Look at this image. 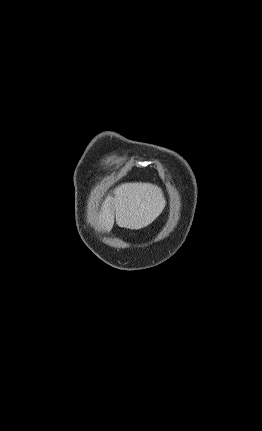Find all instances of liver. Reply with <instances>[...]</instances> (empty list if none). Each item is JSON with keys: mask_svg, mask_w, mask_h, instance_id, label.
<instances>
[{"mask_svg": "<svg viewBox=\"0 0 262 431\" xmlns=\"http://www.w3.org/2000/svg\"><path fill=\"white\" fill-rule=\"evenodd\" d=\"M166 205L161 188L150 183H125L116 188V198L103 202L99 222L111 231L114 218L119 227L138 230L151 224Z\"/></svg>", "mask_w": 262, "mask_h": 431, "instance_id": "1", "label": "liver"}]
</instances>
